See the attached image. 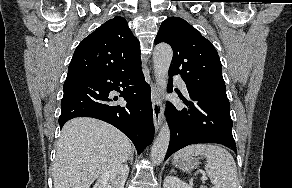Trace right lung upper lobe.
<instances>
[{
	"label": "right lung upper lobe",
	"instance_id": "cb5924a9",
	"mask_svg": "<svg viewBox=\"0 0 292 188\" xmlns=\"http://www.w3.org/2000/svg\"><path fill=\"white\" fill-rule=\"evenodd\" d=\"M140 43L120 16L108 20L81 41L68 68L71 74L122 73L141 65Z\"/></svg>",
	"mask_w": 292,
	"mask_h": 188
}]
</instances>
